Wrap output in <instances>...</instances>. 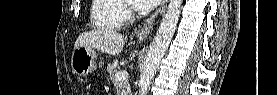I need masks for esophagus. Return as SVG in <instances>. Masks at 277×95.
Instances as JSON below:
<instances>
[{
  "mask_svg": "<svg viewBox=\"0 0 277 95\" xmlns=\"http://www.w3.org/2000/svg\"><path fill=\"white\" fill-rule=\"evenodd\" d=\"M168 0H163L159 8L147 19L143 27L136 33L137 38L145 39L151 32L155 19L166 10Z\"/></svg>",
  "mask_w": 277,
  "mask_h": 95,
  "instance_id": "obj_1",
  "label": "esophagus"
}]
</instances>
